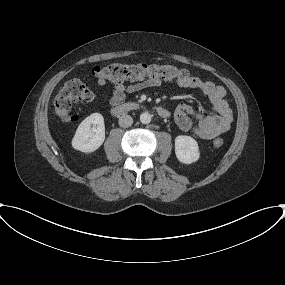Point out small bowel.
<instances>
[{
	"mask_svg": "<svg viewBox=\"0 0 285 285\" xmlns=\"http://www.w3.org/2000/svg\"><path fill=\"white\" fill-rule=\"evenodd\" d=\"M161 83L160 80L151 79L138 80L129 84L117 82L113 85L111 95L105 96V99L115 106L122 103L127 93L159 86ZM176 83L180 87L199 90L200 94L212 104V113L210 115H204L188 104H178L174 112V119L182 131L190 132L201 139L210 140L230 128L233 115L226 99V91L222 86L194 76L190 80ZM190 116H193L196 121H193Z\"/></svg>",
	"mask_w": 285,
	"mask_h": 285,
	"instance_id": "small-bowel-1",
	"label": "small bowel"
}]
</instances>
